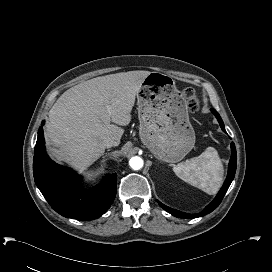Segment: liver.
<instances>
[{"instance_id": "obj_1", "label": "liver", "mask_w": 272, "mask_h": 272, "mask_svg": "<svg viewBox=\"0 0 272 272\" xmlns=\"http://www.w3.org/2000/svg\"><path fill=\"white\" fill-rule=\"evenodd\" d=\"M150 73L110 74L65 91L49 111L45 127L49 154L83 171L103 155L106 139L120 143L124 130L119 126L130 123L137 92Z\"/></svg>"}]
</instances>
